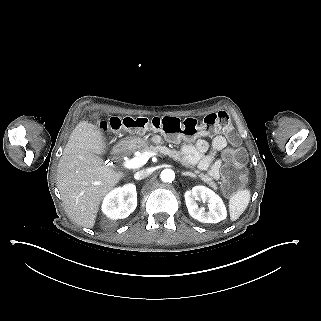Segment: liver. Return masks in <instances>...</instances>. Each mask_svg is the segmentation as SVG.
<instances>
[{
  "instance_id": "1",
  "label": "liver",
  "mask_w": 321,
  "mask_h": 321,
  "mask_svg": "<svg viewBox=\"0 0 321 321\" xmlns=\"http://www.w3.org/2000/svg\"><path fill=\"white\" fill-rule=\"evenodd\" d=\"M102 112H94L97 120ZM80 121L70 134L57 169V186L68 216L79 226L93 229L105 196L125 177L105 165L101 155L108 151L100 122Z\"/></svg>"
}]
</instances>
